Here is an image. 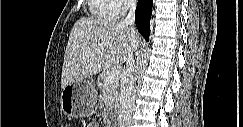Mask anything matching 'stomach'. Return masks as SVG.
<instances>
[{
    "label": "stomach",
    "mask_w": 243,
    "mask_h": 127,
    "mask_svg": "<svg viewBox=\"0 0 243 127\" xmlns=\"http://www.w3.org/2000/svg\"><path fill=\"white\" fill-rule=\"evenodd\" d=\"M96 100L95 86L86 80L68 84L62 88L60 97L63 112L74 118H84L90 115Z\"/></svg>",
    "instance_id": "obj_1"
}]
</instances>
